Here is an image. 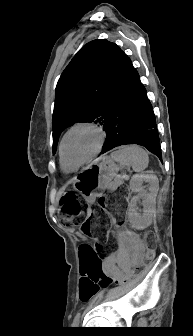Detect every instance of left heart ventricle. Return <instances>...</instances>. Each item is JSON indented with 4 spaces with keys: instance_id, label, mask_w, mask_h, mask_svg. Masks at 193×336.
<instances>
[{
    "instance_id": "left-heart-ventricle-1",
    "label": "left heart ventricle",
    "mask_w": 193,
    "mask_h": 336,
    "mask_svg": "<svg viewBox=\"0 0 193 336\" xmlns=\"http://www.w3.org/2000/svg\"><path fill=\"white\" fill-rule=\"evenodd\" d=\"M98 134L89 128H79L71 132L64 144L67 161L77 164L91 155L98 145Z\"/></svg>"
}]
</instances>
